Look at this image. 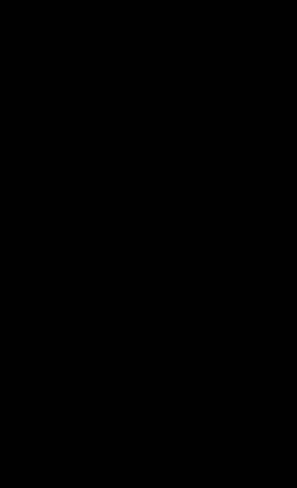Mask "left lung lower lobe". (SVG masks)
<instances>
[{"instance_id": "obj_1", "label": "left lung lower lobe", "mask_w": 297, "mask_h": 488, "mask_svg": "<svg viewBox=\"0 0 297 488\" xmlns=\"http://www.w3.org/2000/svg\"><path fill=\"white\" fill-rule=\"evenodd\" d=\"M164 173L160 171V173L157 174L158 176V181L162 179V182L160 184H157L154 186V184H151L153 179H156V177H153L149 180H145L142 182L140 186L136 187V192L139 190L141 193V199L144 200H150L151 202H164L166 199L165 192H164V186H163V177H159L160 175H163ZM139 194V193H137Z\"/></svg>"}]
</instances>
